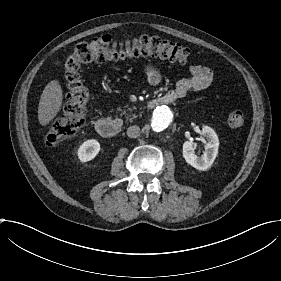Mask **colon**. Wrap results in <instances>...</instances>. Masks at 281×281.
Instances as JSON below:
<instances>
[{
	"label": "colon",
	"mask_w": 281,
	"mask_h": 281,
	"mask_svg": "<svg viewBox=\"0 0 281 281\" xmlns=\"http://www.w3.org/2000/svg\"><path fill=\"white\" fill-rule=\"evenodd\" d=\"M137 55L193 62L190 52L185 47L156 37L138 36L135 41L124 39L121 45H114L111 39L94 40L79 45L65 61L64 78L68 93L63 106L43 134V145L53 147L63 140L74 137L85 127L89 96L79 73L84 65ZM226 120L233 127H241L245 122L244 115L237 110L228 111Z\"/></svg>",
	"instance_id": "5ec220e1"
}]
</instances>
